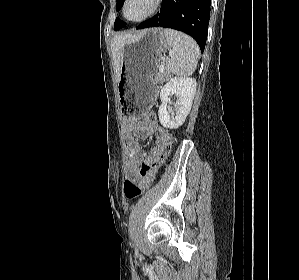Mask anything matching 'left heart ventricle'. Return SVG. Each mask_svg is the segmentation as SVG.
Returning a JSON list of instances; mask_svg holds the SVG:
<instances>
[{"instance_id":"b2bd125f","label":"left heart ventricle","mask_w":299,"mask_h":280,"mask_svg":"<svg viewBox=\"0 0 299 280\" xmlns=\"http://www.w3.org/2000/svg\"><path fill=\"white\" fill-rule=\"evenodd\" d=\"M152 0H130L126 14L130 19H137L146 14L151 7Z\"/></svg>"}]
</instances>
